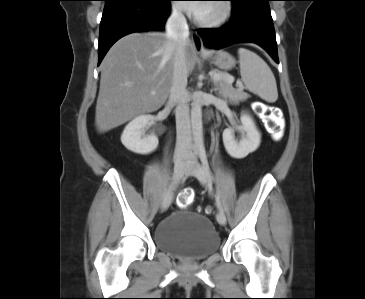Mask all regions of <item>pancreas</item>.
Wrapping results in <instances>:
<instances>
[{"label": "pancreas", "instance_id": "pancreas-1", "mask_svg": "<svg viewBox=\"0 0 365 299\" xmlns=\"http://www.w3.org/2000/svg\"><path fill=\"white\" fill-rule=\"evenodd\" d=\"M213 73L222 76V79L217 82V86L220 89V94L224 98H227L233 102L244 101L248 98L249 95L246 92L234 89L232 87V83L227 79L230 76L229 74L217 70H214Z\"/></svg>", "mask_w": 365, "mask_h": 299}]
</instances>
